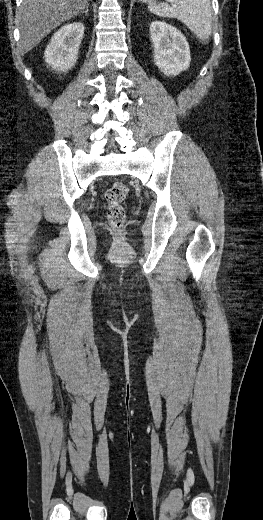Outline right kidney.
Wrapping results in <instances>:
<instances>
[{
	"instance_id": "ca27d5eb",
	"label": "right kidney",
	"mask_w": 263,
	"mask_h": 520,
	"mask_svg": "<svg viewBox=\"0 0 263 520\" xmlns=\"http://www.w3.org/2000/svg\"><path fill=\"white\" fill-rule=\"evenodd\" d=\"M83 35L82 22H74L61 27L46 47L45 62L58 72H67L72 69L78 59Z\"/></svg>"
}]
</instances>
